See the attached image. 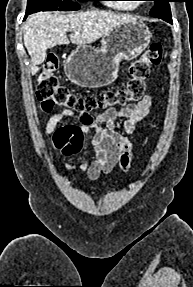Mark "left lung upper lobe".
Masks as SVG:
<instances>
[{
  "instance_id": "5c2ea615",
  "label": "left lung upper lobe",
  "mask_w": 193,
  "mask_h": 287,
  "mask_svg": "<svg viewBox=\"0 0 193 287\" xmlns=\"http://www.w3.org/2000/svg\"><path fill=\"white\" fill-rule=\"evenodd\" d=\"M155 5L150 11V15L161 18L169 23H172V16L169 2L171 0H152Z\"/></svg>"
}]
</instances>
